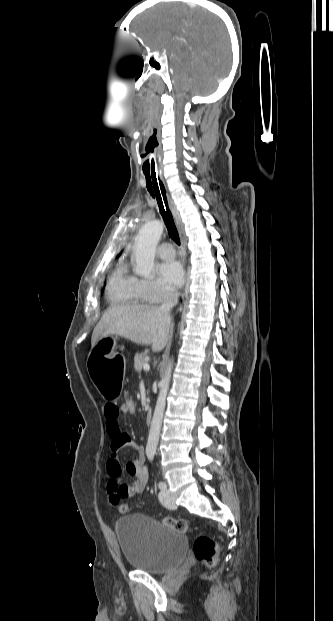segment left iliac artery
Instances as JSON below:
<instances>
[{"instance_id": "1", "label": "left iliac artery", "mask_w": 333, "mask_h": 621, "mask_svg": "<svg viewBox=\"0 0 333 621\" xmlns=\"http://www.w3.org/2000/svg\"><path fill=\"white\" fill-rule=\"evenodd\" d=\"M148 458H149L150 461L153 460V456H149ZM158 487H159V489H164V488H166V484L164 482L160 481L158 483Z\"/></svg>"}]
</instances>
